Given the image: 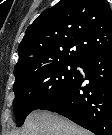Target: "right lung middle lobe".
Wrapping results in <instances>:
<instances>
[{"label": "right lung middle lobe", "instance_id": "right-lung-middle-lobe-1", "mask_svg": "<svg viewBox=\"0 0 112 135\" xmlns=\"http://www.w3.org/2000/svg\"><path fill=\"white\" fill-rule=\"evenodd\" d=\"M79 64L75 61L52 62L34 73L16 78L13 86L16 126H21L31 111L69 89L77 79Z\"/></svg>", "mask_w": 112, "mask_h": 135}]
</instances>
